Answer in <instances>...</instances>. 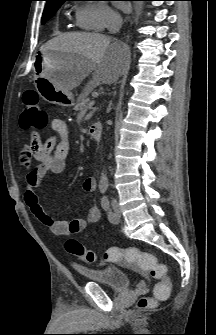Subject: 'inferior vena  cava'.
Returning <instances> with one entry per match:
<instances>
[{
  "label": "inferior vena cava",
  "instance_id": "inferior-vena-cava-1",
  "mask_svg": "<svg viewBox=\"0 0 216 335\" xmlns=\"http://www.w3.org/2000/svg\"><path fill=\"white\" fill-rule=\"evenodd\" d=\"M122 26V19L119 16H113L108 24V30L110 33L115 34L119 32Z\"/></svg>",
  "mask_w": 216,
  "mask_h": 335
}]
</instances>
